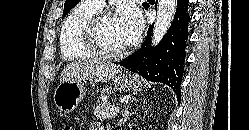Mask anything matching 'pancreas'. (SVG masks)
<instances>
[{"mask_svg":"<svg viewBox=\"0 0 249 130\" xmlns=\"http://www.w3.org/2000/svg\"><path fill=\"white\" fill-rule=\"evenodd\" d=\"M105 97L101 95L94 106V115L102 121L111 117L110 111L114 108L112 104L104 100Z\"/></svg>","mask_w":249,"mask_h":130,"instance_id":"cf45deb5","label":"pancreas"}]
</instances>
